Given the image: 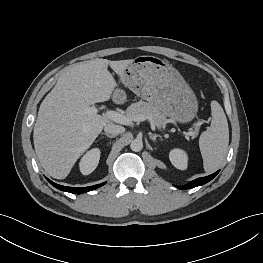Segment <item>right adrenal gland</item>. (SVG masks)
I'll use <instances>...</instances> for the list:
<instances>
[{"mask_svg": "<svg viewBox=\"0 0 263 263\" xmlns=\"http://www.w3.org/2000/svg\"><path fill=\"white\" fill-rule=\"evenodd\" d=\"M101 135H105V136H107V137H109V138H114L113 135H109V134H107V133H102Z\"/></svg>", "mask_w": 263, "mask_h": 263, "instance_id": "right-adrenal-gland-1", "label": "right adrenal gland"}]
</instances>
